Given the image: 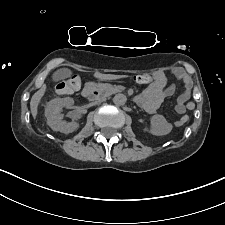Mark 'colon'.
Instances as JSON below:
<instances>
[{
  "label": "colon",
  "instance_id": "5ec220e1",
  "mask_svg": "<svg viewBox=\"0 0 225 225\" xmlns=\"http://www.w3.org/2000/svg\"><path fill=\"white\" fill-rule=\"evenodd\" d=\"M135 81L139 84H148L154 81V77L149 74H141L135 77ZM81 84L79 76H72L69 79L62 80L56 85V92L61 95H67L77 90ZM187 110H192L194 108L193 102H188L185 104ZM188 119L182 118L179 125H184Z\"/></svg>",
  "mask_w": 225,
  "mask_h": 225
}]
</instances>
